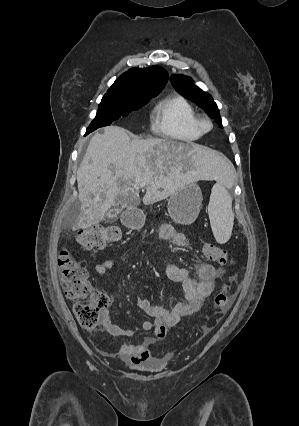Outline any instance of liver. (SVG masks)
Here are the masks:
<instances>
[{
	"label": "liver",
	"mask_w": 299,
	"mask_h": 426,
	"mask_svg": "<svg viewBox=\"0 0 299 426\" xmlns=\"http://www.w3.org/2000/svg\"><path fill=\"white\" fill-rule=\"evenodd\" d=\"M232 172L227 157L208 147L160 138L131 139L124 128L106 127L91 138L77 171L81 212L75 227L98 224L113 206H137L141 183H146L147 205L200 178L224 180Z\"/></svg>",
	"instance_id": "6515ba94"
}]
</instances>
